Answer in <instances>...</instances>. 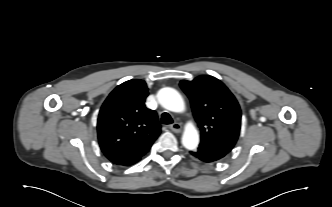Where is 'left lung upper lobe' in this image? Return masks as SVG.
Wrapping results in <instances>:
<instances>
[{
  "mask_svg": "<svg viewBox=\"0 0 332 207\" xmlns=\"http://www.w3.org/2000/svg\"><path fill=\"white\" fill-rule=\"evenodd\" d=\"M180 87L191 101L201 131L199 147L227 154L240 132L241 110L230 90L217 78L201 75L182 80Z\"/></svg>",
  "mask_w": 332,
  "mask_h": 207,
  "instance_id": "obj_1",
  "label": "left lung upper lobe"
}]
</instances>
